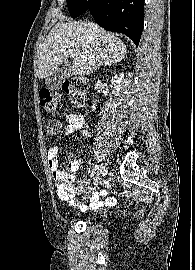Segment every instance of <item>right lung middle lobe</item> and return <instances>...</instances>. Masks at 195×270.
I'll list each match as a JSON object with an SVG mask.
<instances>
[{
  "label": "right lung middle lobe",
  "mask_w": 195,
  "mask_h": 270,
  "mask_svg": "<svg viewBox=\"0 0 195 270\" xmlns=\"http://www.w3.org/2000/svg\"><path fill=\"white\" fill-rule=\"evenodd\" d=\"M70 16L75 19L89 8V0H67Z\"/></svg>",
  "instance_id": "dd1d6c3e"
}]
</instances>
